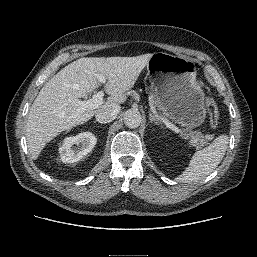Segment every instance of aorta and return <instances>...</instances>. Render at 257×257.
<instances>
[{
	"label": "aorta",
	"mask_w": 257,
	"mask_h": 257,
	"mask_svg": "<svg viewBox=\"0 0 257 257\" xmlns=\"http://www.w3.org/2000/svg\"><path fill=\"white\" fill-rule=\"evenodd\" d=\"M142 121L141 114L138 110L129 109L124 113V123L129 128H137Z\"/></svg>",
	"instance_id": "1"
}]
</instances>
